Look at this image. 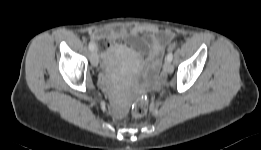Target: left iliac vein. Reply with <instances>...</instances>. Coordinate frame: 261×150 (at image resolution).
Wrapping results in <instances>:
<instances>
[{
	"instance_id": "1",
	"label": "left iliac vein",
	"mask_w": 261,
	"mask_h": 150,
	"mask_svg": "<svg viewBox=\"0 0 261 150\" xmlns=\"http://www.w3.org/2000/svg\"><path fill=\"white\" fill-rule=\"evenodd\" d=\"M163 69H164V71H165L166 73H168V74H171V73L173 72V70H174V68H173V66H172V64H171V62L168 61V60H166V61L164 62Z\"/></svg>"
}]
</instances>
